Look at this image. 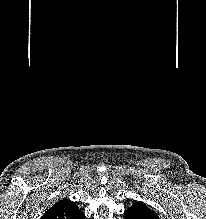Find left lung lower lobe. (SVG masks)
I'll return each mask as SVG.
<instances>
[{
    "label": "left lung lower lobe",
    "instance_id": "1",
    "mask_svg": "<svg viewBox=\"0 0 206 219\" xmlns=\"http://www.w3.org/2000/svg\"><path fill=\"white\" fill-rule=\"evenodd\" d=\"M126 219H160L150 208L142 203H134L125 212Z\"/></svg>",
    "mask_w": 206,
    "mask_h": 219
}]
</instances>
